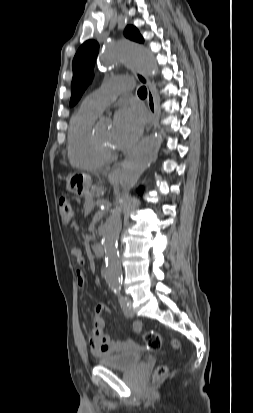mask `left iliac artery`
Instances as JSON below:
<instances>
[{"instance_id":"obj_1","label":"left iliac artery","mask_w":253,"mask_h":413,"mask_svg":"<svg viewBox=\"0 0 253 413\" xmlns=\"http://www.w3.org/2000/svg\"><path fill=\"white\" fill-rule=\"evenodd\" d=\"M114 292H115V294L118 295L121 308L124 309L125 307H127V306L129 305L127 297H124V296L121 294V292H120L119 289H114Z\"/></svg>"}]
</instances>
